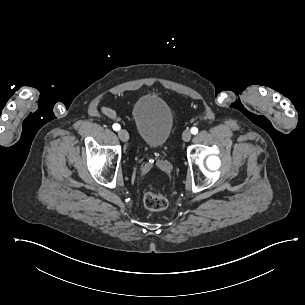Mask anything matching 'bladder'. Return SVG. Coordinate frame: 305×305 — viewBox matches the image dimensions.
<instances>
[{
    "mask_svg": "<svg viewBox=\"0 0 305 305\" xmlns=\"http://www.w3.org/2000/svg\"><path fill=\"white\" fill-rule=\"evenodd\" d=\"M131 118L143 143L166 147L174 128V110L167 100L154 92L142 94L132 104Z\"/></svg>",
    "mask_w": 305,
    "mask_h": 305,
    "instance_id": "obj_1",
    "label": "bladder"
}]
</instances>
